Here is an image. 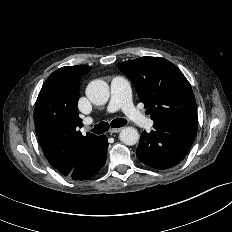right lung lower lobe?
Returning a JSON list of instances; mask_svg holds the SVG:
<instances>
[{
  "instance_id": "1",
  "label": "right lung lower lobe",
  "mask_w": 232,
  "mask_h": 232,
  "mask_svg": "<svg viewBox=\"0 0 232 232\" xmlns=\"http://www.w3.org/2000/svg\"><path fill=\"white\" fill-rule=\"evenodd\" d=\"M107 149L106 136H98L90 145L82 149L75 167L65 176L73 180H86L93 177L104 167Z\"/></svg>"
}]
</instances>
